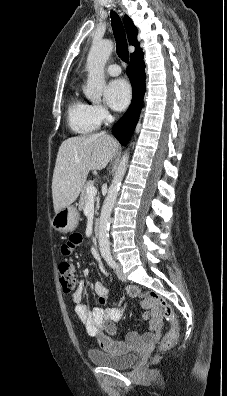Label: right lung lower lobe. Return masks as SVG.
<instances>
[{"mask_svg":"<svg viewBox=\"0 0 227 396\" xmlns=\"http://www.w3.org/2000/svg\"><path fill=\"white\" fill-rule=\"evenodd\" d=\"M144 69L143 52L139 48L131 54V61L127 68V75L133 89L131 105L124 116L112 128L113 135L123 146L128 143L139 119L145 93L146 76Z\"/></svg>","mask_w":227,"mask_h":396,"instance_id":"1","label":"right lung lower lobe"}]
</instances>
